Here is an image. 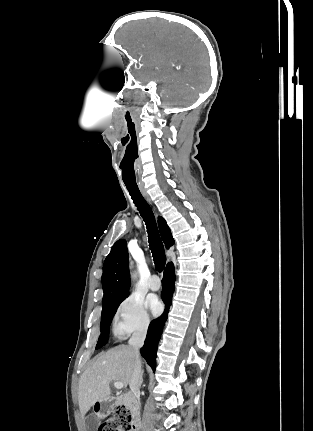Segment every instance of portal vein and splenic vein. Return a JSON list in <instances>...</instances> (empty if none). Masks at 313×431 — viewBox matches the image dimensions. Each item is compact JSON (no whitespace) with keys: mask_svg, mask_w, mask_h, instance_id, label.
<instances>
[{"mask_svg":"<svg viewBox=\"0 0 313 431\" xmlns=\"http://www.w3.org/2000/svg\"><path fill=\"white\" fill-rule=\"evenodd\" d=\"M114 387L117 389V390H120V389H122L123 387H124V384L122 383V382H114Z\"/></svg>","mask_w":313,"mask_h":431,"instance_id":"obj_1","label":"portal vein and splenic vein"}]
</instances>
